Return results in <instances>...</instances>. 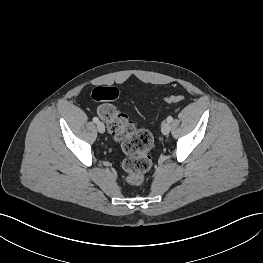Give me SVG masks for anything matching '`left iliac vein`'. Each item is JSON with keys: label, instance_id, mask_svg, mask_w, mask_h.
Instances as JSON below:
<instances>
[{"label": "left iliac vein", "instance_id": "left-iliac-vein-1", "mask_svg": "<svg viewBox=\"0 0 263 263\" xmlns=\"http://www.w3.org/2000/svg\"><path fill=\"white\" fill-rule=\"evenodd\" d=\"M171 130V125L168 121H164L161 125V131L164 135H168Z\"/></svg>", "mask_w": 263, "mask_h": 263}]
</instances>
